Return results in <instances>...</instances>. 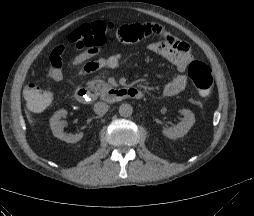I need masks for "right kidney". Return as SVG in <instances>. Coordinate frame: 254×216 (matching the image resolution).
<instances>
[{
	"instance_id": "ca27d5eb",
	"label": "right kidney",
	"mask_w": 254,
	"mask_h": 216,
	"mask_svg": "<svg viewBox=\"0 0 254 216\" xmlns=\"http://www.w3.org/2000/svg\"><path fill=\"white\" fill-rule=\"evenodd\" d=\"M67 115V111L64 109L58 110L54 113V115L50 119V127L52 133L55 137L60 140H63L67 143H77L83 138V132H80L75 135L64 133V126L61 124L60 119L63 116Z\"/></svg>"
}]
</instances>
